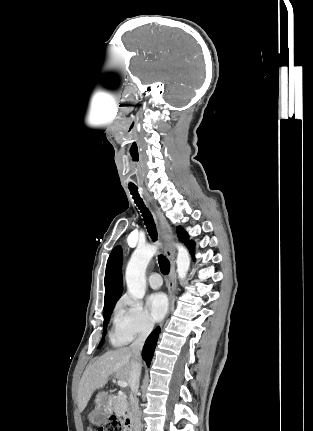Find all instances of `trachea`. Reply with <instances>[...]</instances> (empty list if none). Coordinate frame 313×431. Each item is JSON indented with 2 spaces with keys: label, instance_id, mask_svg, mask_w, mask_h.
I'll use <instances>...</instances> for the list:
<instances>
[{
  "label": "trachea",
  "instance_id": "1",
  "mask_svg": "<svg viewBox=\"0 0 313 431\" xmlns=\"http://www.w3.org/2000/svg\"><path fill=\"white\" fill-rule=\"evenodd\" d=\"M129 190L133 196L135 204L139 207V209L142 213L143 220H144L146 228L149 232L150 237L154 241L157 240V230H156V226L154 223V219L152 217V214L148 210V208L145 206L142 198L140 197V195L138 193V188L135 186H129ZM158 262H159L161 272L164 275L168 274L170 271V263H169L168 259L165 256L160 255L158 258Z\"/></svg>",
  "mask_w": 313,
  "mask_h": 431
}]
</instances>
